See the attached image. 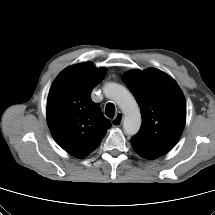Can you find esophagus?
I'll list each match as a JSON object with an SVG mask.
<instances>
[{
	"label": "esophagus",
	"instance_id": "obj_1",
	"mask_svg": "<svg viewBox=\"0 0 215 215\" xmlns=\"http://www.w3.org/2000/svg\"><path fill=\"white\" fill-rule=\"evenodd\" d=\"M123 121V114L118 112L116 116L112 119L111 123L114 127H118L122 124Z\"/></svg>",
	"mask_w": 215,
	"mask_h": 215
}]
</instances>
